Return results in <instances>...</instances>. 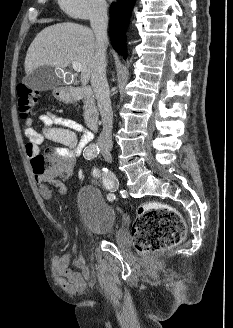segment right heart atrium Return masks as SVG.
Here are the masks:
<instances>
[{"instance_id":"right-heart-atrium-1","label":"right heart atrium","mask_w":233,"mask_h":328,"mask_svg":"<svg viewBox=\"0 0 233 328\" xmlns=\"http://www.w3.org/2000/svg\"><path fill=\"white\" fill-rule=\"evenodd\" d=\"M63 11L76 19L100 17L107 10L106 0H58Z\"/></svg>"}]
</instances>
